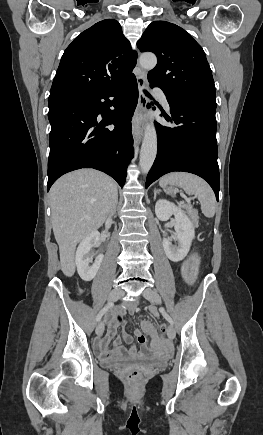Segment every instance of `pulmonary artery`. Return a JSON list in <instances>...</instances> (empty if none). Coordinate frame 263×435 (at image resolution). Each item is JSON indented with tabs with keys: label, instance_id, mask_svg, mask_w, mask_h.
<instances>
[{
	"label": "pulmonary artery",
	"instance_id": "1",
	"mask_svg": "<svg viewBox=\"0 0 263 435\" xmlns=\"http://www.w3.org/2000/svg\"><path fill=\"white\" fill-rule=\"evenodd\" d=\"M155 92L159 95L160 101H161L162 105L164 106V108L169 110L170 106H169L168 100H167L164 92L159 88H155Z\"/></svg>",
	"mask_w": 263,
	"mask_h": 435
}]
</instances>
